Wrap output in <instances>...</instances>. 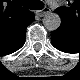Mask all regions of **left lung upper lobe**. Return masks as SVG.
Masks as SVG:
<instances>
[{
    "instance_id": "obj_1",
    "label": "left lung upper lobe",
    "mask_w": 80,
    "mask_h": 80,
    "mask_svg": "<svg viewBox=\"0 0 80 80\" xmlns=\"http://www.w3.org/2000/svg\"><path fill=\"white\" fill-rule=\"evenodd\" d=\"M59 35H62V32H59Z\"/></svg>"
}]
</instances>
